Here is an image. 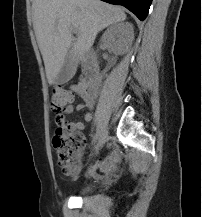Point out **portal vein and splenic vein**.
<instances>
[{"label": "portal vein and splenic vein", "instance_id": "1", "mask_svg": "<svg viewBox=\"0 0 202 217\" xmlns=\"http://www.w3.org/2000/svg\"><path fill=\"white\" fill-rule=\"evenodd\" d=\"M70 30H71L73 33H75V34L78 33L77 29H75V28H73V27H72Z\"/></svg>", "mask_w": 202, "mask_h": 217}]
</instances>
